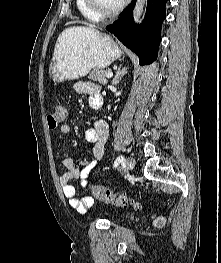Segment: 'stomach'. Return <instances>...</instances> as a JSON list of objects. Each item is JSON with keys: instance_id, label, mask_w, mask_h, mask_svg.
<instances>
[{"instance_id": "0dacf381", "label": "stomach", "mask_w": 221, "mask_h": 263, "mask_svg": "<svg viewBox=\"0 0 221 263\" xmlns=\"http://www.w3.org/2000/svg\"><path fill=\"white\" fill-rule=\"evenodd\" d=\"M121 54L109 35L83 27L69 28L57 40L49 75L57 82L79 79L91 69L108 67Z\"/></svg>"}]
</instances>
